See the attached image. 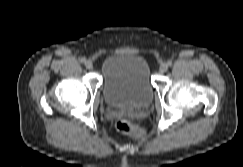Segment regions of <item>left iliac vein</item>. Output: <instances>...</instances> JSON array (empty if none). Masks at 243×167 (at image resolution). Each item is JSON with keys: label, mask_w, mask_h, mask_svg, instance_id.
Returning <instances> with one entry per match:
<instances>
[{"label": "left iliac vein", "mask_w": 243, "mask_h": 167, "mask_svg": "<svg viewBox=\"0 0 243 167\" xmlns=\"http://www.w3.org/2000/svg\"><path fill=\"white\" fill-rule=\"evenodd\" d=\"M168 70V65L166 64V63H162L161 65H160V67H159V71L161 72V73H164V72H166Z\"/></svg>", "instance_id": "left-iliac-vein-1"}]
</instances>
